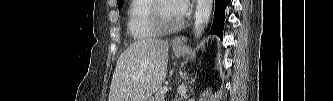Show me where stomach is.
<instances>
[{
	"label": "stomach",
	"instance_id": "1",
	"mask_svg": "<svg viewBox=\"0 0 333 101\" xmlns=\"http://www.w3.org/2000/svg\"><path fill=\"white\" fill-rule=\"evenodd\" d=\"M185 50H186V47H185V46H183V47H175V46H173L174 54H175L177 57H179V56H181L182 54H184ZM147 101H151V100H147Z\"/></svg>",
	"mask_w": 333,
	"mask_h": 101
}]
</instances>
